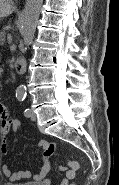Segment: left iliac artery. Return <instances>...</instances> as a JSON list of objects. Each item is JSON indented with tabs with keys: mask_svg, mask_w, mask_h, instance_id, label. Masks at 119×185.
Returning <instances> with one entry per match:
<instances>
[{
	"mask_svg": "<svg viewBox=\"0 0 119 185\" xmlns=\"http://www.w3.org/2000/svg\"><path fill=\"white\" fill-rule=\"evenodd\" d=\"M24 99H25V96L18 98L19 101H24ZM24 115L26 117H29V109L28 108L24 110Z\"/></svg>",
	"mask_w": 119,
	"mask_h": 185,
	"instance_id": "44dca946",
	"label": "left iliac artery"
}]
</instances>
